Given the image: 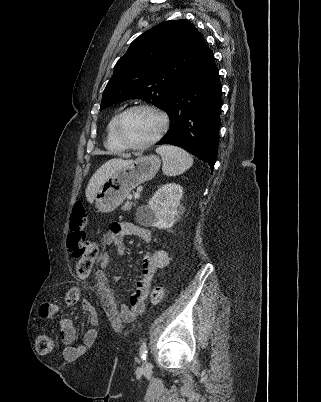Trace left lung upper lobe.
Here are the masks:
<instances>
[{"label": "left lung upper lobe", "instance_id": "left-lung-upper-lobe-1", "mask_svg": "<svg viewBox=\"0 0 321 402\" xmlns=\"http://www.w3.org/2000/svg\"><path fill=\"white\" fill-rule=\"evenodd\" d=\"M206 48L203 36L185 19L151 28L134 40L116 63L100 109L131 98L164 109L171 92Z\"/></svg>", "mask_w": 321, "mask_h": 402}]
</instances>
